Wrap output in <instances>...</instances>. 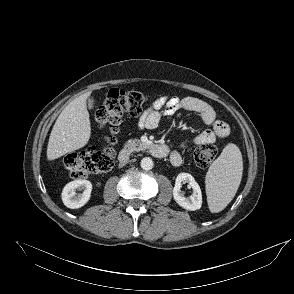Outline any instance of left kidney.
<instances>
[{
    "label": "left kidney",
    "instance_id": "left-kidney-1",
    "mask_svg": "<svg viewBox=\"0 0 294 294\" xmlns=\"http://www.w3.org/2000/svg\"><path fill=\"white\" fill-rule=\"evenodd\" d=\"M182 183H188L189 187L192 188V194L189 197H185L181 191ZM173 197L177 204L186 210L195 211L201 208L202 193L200 186L193 176L188 173H180L177 176L173 189Z\"/></svg>",
    "mask_w": 294,
    "mask_h": 294
}]
</instances>
